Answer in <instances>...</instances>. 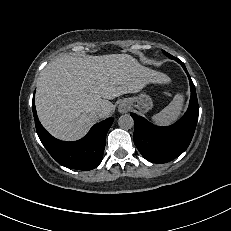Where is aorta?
I'll list each match as a JSON object with an SVG mask.
<instances>
[{
	"mask_svg": "<svg viewBox=\"0 0 231 231\" xmlns=\"http://www.w3.org/2000/svg\"><path fill=\"white\" fill-rule=\"evenodd\" d=\"M118 125L122 129H131L134 126V120L129 114H124L119 117Z\"/></svg>",
	"mask_w": 231,
	"mask_h": 231,
	"instance_id": "obj_1",
	"label": "aorta"
}]
</instances>
